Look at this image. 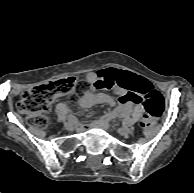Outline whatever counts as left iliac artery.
Wrapping results in <instances>:
<instances>
[{
	"mask_svg": "<svg viewBox=\"0 0 194 193\" xmlns=\"http://www.w3.org/2000/svg\"><path fill=\"white\" fill-rule=\"evenodd\" d=\"M129 123H131V118L130 117L125 118L123 121V124H129Z\"/></svg>",
	"mask_w": 194,
	"mask_h": 193,
	"instance_id": "44dca946",
	"label": "left iliac artery"
}]
</instances>
